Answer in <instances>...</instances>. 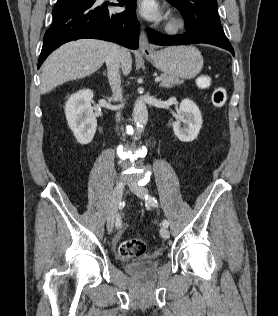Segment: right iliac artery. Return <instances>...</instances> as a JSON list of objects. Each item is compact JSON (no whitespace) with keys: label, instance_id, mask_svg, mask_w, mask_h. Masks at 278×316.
Returning <instances> with one entry per match:
<instances>
[{"label":"right iliac artery","instance_id":"obj_1","mask_svg":"<svg viewBox=\"0 0 278 316\" xmlns=\"http://www.w3.org/2000/svg\"><path fill=\"white\" fill-rule=\"evenodd\" d=\"M120 226H121V218L118 215L117 218H116V227L119 228Z\"/></svg>","mask_w":278,"mask_h":316}]
</instances>
